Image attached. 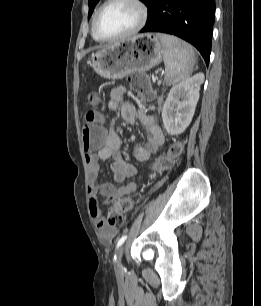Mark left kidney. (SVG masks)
<instances>
[{
  "label": "left kidney",
  "mask_w": 261,
  "mask_h": 306,
  "mask_svg": "<svg viewBox=\"0 0 261 306\" xmlns=\"http://www.w3.org/2000/svg\"><path fill=\"white\" fill-rule=\"evenodd\" d=\"M203 82L204 74L197 73L171 88L162 109L163 124L168 134L179 135L189 126Z\"/></svg>",
  "instance_id": "5707ae66"
}]
</instances>
